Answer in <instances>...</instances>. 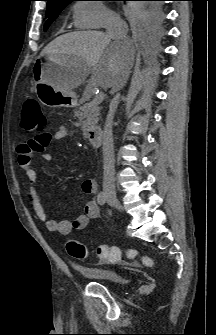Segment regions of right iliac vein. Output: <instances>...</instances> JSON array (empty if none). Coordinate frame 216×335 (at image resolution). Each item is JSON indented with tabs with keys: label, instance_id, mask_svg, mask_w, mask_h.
Masks as SVG:
<instances>
[{
	"label": "right iliac vein",
	"instance_id": "63e3f726",
	"mask_svg": "<svg viewBox=\"0 0 216 335\" xmlns=\"http://www.w3.org/2000/svg\"><path fill=\"white\" fill-rule=\"evenodd\" d=\"M106 198L108 200V203L112 206H114L115 208H117L118 210H122V206L119 202V200L116 198L115 195H113L110 192H105Z\"/></svg>",
	"mask_w": 216,
	"mask_h": 335
}]
</instances>
